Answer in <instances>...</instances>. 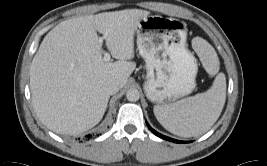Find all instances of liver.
Masks as SVG:
<instances>
[{"instance_id": "6515ba94", "label": "liver", "mask_w": 267, "mask_h": 166, "mask_svg": "<svg viewBox=\"0 0 267 166\" xmlns=\"http://www.w3.org/2000/svg\"><path fill=\"white\" fill-rule=\"evenodd\" d=\"M149 15L104 12L62 21L48 32L30 66V89L35 112L50 130L77 135L101 121L110 98L105 85H126L136 68L134 35ZM97 32L118 61H104Z\"/></svg>"}]
</instances>
